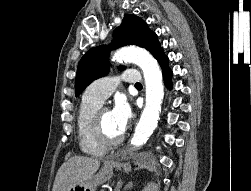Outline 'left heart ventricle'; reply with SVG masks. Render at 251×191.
I'll list each match as a JSON object with an SVG mask.
<instances>
[{"mask_svg": "<svg viewBox=\"0 0 251 191\" xmlns=\"http://www.w3.org/2000/svg\"><path fill=\"white\" fill-rule=\"evenodd\" d=\"M101 120L103 123L104 130L111 137H116L119 133L113 128L109 111H103L101 113Z\"/></svg>", "mask_w": 251, "mask_h": 191, "instance_id": "left-heart-ventricle-1", "label": "left heart ventricle"}]
</instances>
